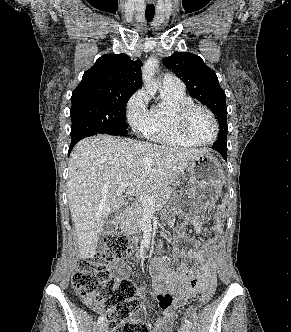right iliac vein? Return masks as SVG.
I'll return each instance as SVG.
<instances>
[{
  "label": "right iliac vein",
  "instance_id": "1",
  "mask_svg": "<svg viewBox=\"0 0 291 332\" xmlns=\"http://www.w3.org/2000/svg\"><path fill=\"white\" fill-rule=\"evenodd\" d=\"M99 332H107V326L105 323L99 325Z\"/></svg>",
  "mask_w": 291,
  "mask_h": 332
}]
</instances>
